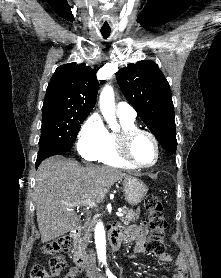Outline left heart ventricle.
I'll return each mask as SVG.
<instances>
[{
  "instance_id": "obj_1",
  "label": "left heart ventricle",
  "mask_w": 221,
  "mask_h": 278,
  "mask_svg": "<svg viewBox=\"0 0 221 278\" xmlns=\"http://www.w3.org/2000/svg\"><path fill=\"white\" fill-rule=\"evenodd\" d=\"M129 153L134 161L142 165L152 164L156 157L154 144L145 134H138L132 140Z\"/></svg>"
}]
</instances>
